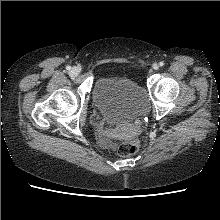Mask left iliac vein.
<instances>
[{"label": "left iliac vein", "mask_w": 220, "mask_h": 220, "mask_svg": "<svg viewBox=\"0 0 220 220\" xmlns=\"http://www.w3.org/2000/svg\"><path fill=\"white\" fill-rule=\"evenodd\" d=\"M158 68H159V65H158L157 63H154V64H153V69H154V70H157Z\"/></svg>", "instance_id": "4c4485c4"}]
</instances>
